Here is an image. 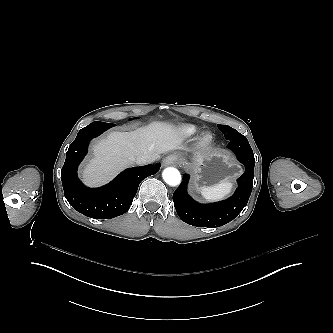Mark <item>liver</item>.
Instances as JSON below:
<instances>
[{
  "instance_id": "6515ba94",
  "label": "liver",
  "mask_w": 333,
  "mask_h": 333,
  "mask_svg": "<svg viewBox=\"0 0 333 333\" xmlns=\"http://www.w3.org/2000/svg\"><path fill=\"white\" fill-rule=\"evenodd\" d=\"M184 139L181 128L159 121L131 132H110L92 145L93 158L83 165L81 176L88 186L102 185L125 167L134 166L138 156L156 160L160 154L186 150Z\"/></svg>"
}]
</instances>
